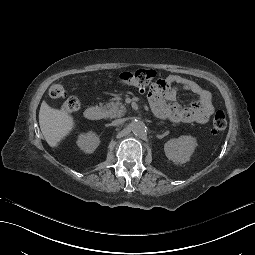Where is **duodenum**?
<instances>
[{
  "label": "duodenum",
  "instance_id": "duodenum-1",
  "mask_svg": "<svg viewBox=\"0 0 255 255\" xmlns=\"http://www.w3.org/2000/svg\"><path fill=\"white\" fill-rule=\"evenodd\" d=\"M154 114L161 119H169L168 112L162 107L153 108ZM85 117L92 121L101 120L104 117V111L97 106L88 107L85 110Z\"/></svg>",
  "mask_w": 255,
  "mask_h": 255
}]
</instances>
